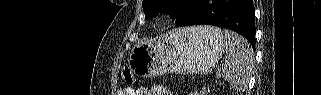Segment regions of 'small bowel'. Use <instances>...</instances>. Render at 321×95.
<instances>
[{"instance_id":"small-bowel-1","label":"small bowel","mask_w":321,"mask_h":95,"mask_svg":"<svg viewBox=\"0 0 321 95\" xmlns=\"http://www.w3.org/2000/svg\"><path fill=\"white\" fill-rule=\"evenodd\" d=\"M124 92L127 95H172V92L163 85H156L152 87L150 90L146 89H138L134 91L133 89H125Z\"/></svg>"}]
</instances>
